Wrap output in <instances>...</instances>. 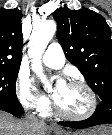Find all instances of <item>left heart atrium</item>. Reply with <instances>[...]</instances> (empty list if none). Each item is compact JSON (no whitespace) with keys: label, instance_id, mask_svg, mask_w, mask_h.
<instances>
[{"label":"left heart atrium","instance_id":"left-heart-atrium-1","mask_svg":"<svg viewBox=\"0 0 112 135\" xmlns=\"http://www.w3.org/2000/svg\"><path fill=\"white\" fill-rule=\"evenodd\" d=\"M66 83L63 80H60L57 84V91H60L65 87Z\"/></svg>","mask_w":112,"mask_h":135}]
</instances>
